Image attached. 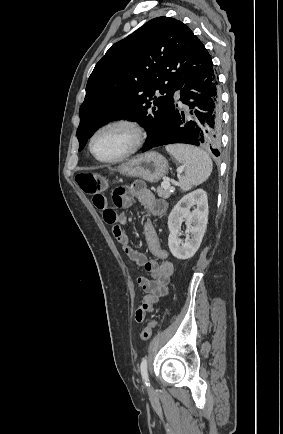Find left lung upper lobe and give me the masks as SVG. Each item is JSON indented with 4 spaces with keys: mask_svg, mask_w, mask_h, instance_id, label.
I'll return each mask as SVG.
<instances>
[{
    "mask_svg": "<svg viewBox=\"0 0 283 434\" xmlns=\"http://www.w3.org/2000/svg\"><path fill=\"white\" fill-rule=\"evenodd\" d=\"M211 64L203 43L171 17L154 18L115 43L88 79L79 151L99 127L123 118L137 119L147 131V145L154 143L173 113V93ZM156 91L166 95L157 97Z\"/></svg>",
    "mask_w": 283,
    "mask_h": 434,
    "instance_id": "1",
    "label": "left lung upper lobe"
}]
</instances>
